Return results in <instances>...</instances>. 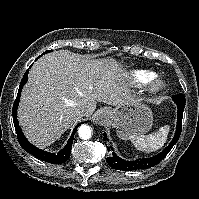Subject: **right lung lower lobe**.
I'll list each match as a JSON object with an SVG mask.
<instances>
[{"mask_svg": "<svg viewBox=\"0 0 199 199\" xmlns=\"http://www.w3.org/2000/svg\"><path fill=\"white\" fill-rule=\"evenodd\" d=\"M29 68H31V66ZM28 72H29V69L25 72V74H24V76L21 80L20 87H19L18 94H17V98L14 102L13 109H12L13 122H14L16 133H17L18 142L26 152L32 154L33 156H35V157H37V158H39L43 161H46V162H49V163H54V164L63 163L65 161H67L70 157V152H71L74 134H75V131L77 130L78 126L81 123L78 124L74 128L72 135L69 138L66 146L61 151H59L57 154L46 152L44 150H41V149L33 146L31 143H29V141L25 138L21 128L19 127V123H18V120H17V108H18V103H19V100H20V94H21V90H22L23 86L27 82Z\"/></svg>", "mask_w": 199, "mask_h": 199, "instance_id": "1", "label": "right lung lower lobe"}]
</instances>
